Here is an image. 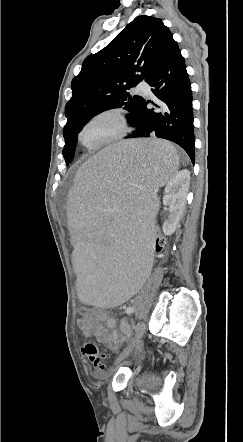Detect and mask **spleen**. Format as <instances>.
I'll return each instance as SVG.
<instances>
[{
    "mask_svg": "<svg viewBox=\"0 0 243 442\" xmlns=\"http://www.w3.org/2000/svg\"><path fill=\"white\" fill-rule=\"evenodd\" d=\"M178 168L170 142L139 139L100 147L74 173L67 200L76 248L71 266L78 301L86 307H123L145 291L156 253L150 219L158 198L151 193Z\"/></svg>",
    "mask_w": 243,
    "mask_h": 442,
    "instance_id": "spleen-1",
    "label": "spleen"
}]
</instances>
